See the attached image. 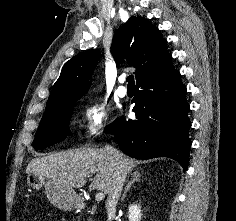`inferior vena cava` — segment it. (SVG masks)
Listing matches in <instances>:
<instances>
[{
	"label": "inferior vena cava",
	"mask_w": 236,
	"mask_h": 221,
	"mask_svg": "<svg viewBox=\"0 0 236 221\" xmlns=\"http://www.w3.org/2000/svg\"><path fill=\"white\" fill-rule=\"evenodd\" d=\"M105 152L113 167V176L110 189L108 191L105 208L108 213L115 212L116 205L121 195V191L127 175V169L123 154L110 145L105 146Z\"/></svg>",
	"instance_id": "602c4592"
}]
</instances>
